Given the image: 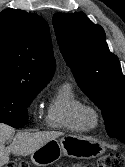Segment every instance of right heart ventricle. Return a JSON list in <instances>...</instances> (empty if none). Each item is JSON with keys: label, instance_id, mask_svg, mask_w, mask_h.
<instances>
[{"label": "right heart ventricle", "instance_id": "e07e8e85", "mask_svg": "<svg viewBox=\"0 0 125 167\" xmlns=\"http://www.w3.org/2000/svg\"><path fill=\"white\" fill-rule=\"evenodd\" d=\"M84 102L78 97L70 83H63L50 99L45 116V123L50 128L71 132H82L88 128L80 113Z\"/></svg>", "mask_w": 125, "mask_h": 167}]
</instances>
